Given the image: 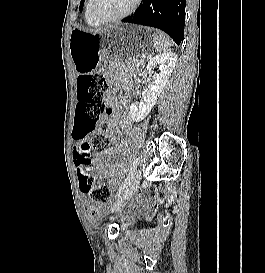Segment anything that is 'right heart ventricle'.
I'll list each match as a JSON object with an SVG mask.
<instances>
[{
	"instance_id": "1",
	"label": "right heart ventricle",
	"mask_w": 265,
	"mask_h": 273,
	"mask_svg": "<svg viewBox=\"0 0 265 273\" xmlns=\"http://www.w3.org/2000/svg\"><path fill=\"white\" fill-rule=\"evenodd\" d=\"M89 5H90V0H86L85 4V21L87 25L91 27H98L100 26V23H98L89 13Z\"/></svg>"
}]
</instances>
